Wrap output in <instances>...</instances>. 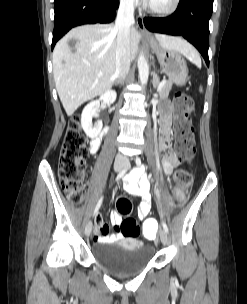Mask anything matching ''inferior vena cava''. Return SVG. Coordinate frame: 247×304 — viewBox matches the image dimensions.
<instances>
[{
  "label": "inferior vena cava",
  "instance_id": "obj_1",
  "mask_svg": "<svg viewBox=\"0 0 247 304\" xmlns=\"http://www.w3.org/2000/svg\"><path fill=\"white\" fill-rule=\"evenodd\" d=\"M134 24V1L123 0L120 3L114 29L117 31L115 77L123 81L130 69V28ZM129 163L126 156L118 154L115 165L124 167Z\"/></svg>",
  "mask_w": 247,
  "mask_h": 304
}]
</instances>
